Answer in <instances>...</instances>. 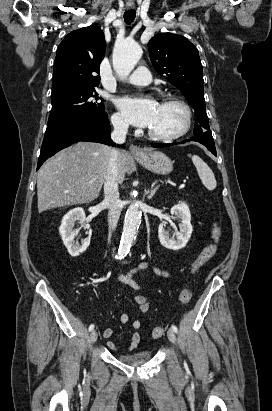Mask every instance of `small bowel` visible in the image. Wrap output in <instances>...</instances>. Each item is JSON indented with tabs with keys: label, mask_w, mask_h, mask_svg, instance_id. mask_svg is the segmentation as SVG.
<instances>
[{
	"label": "small bowel",
	"mask_w": 272,
	"mask_h": 411,
	"mask_svg": "<svg viewBox=\"0 0 272 411\" xmlns=\"http://www.w3.org/2000/svg\"><path fill=\"white\" fill-rule=\"evenodd\" d=\"M148 268H151L158 275H161V276H164V277H166L168 275L166 273V271H164L160 267L152 265L151 263H149L147 261H143V262H140L139 264H137L135 267H133L127 274L118 277V281L120 283L125 284L126 286L131 288L133 291L139 292L140 291V286L134 280V275L137 272L148 269ZM133 299H134L135 303L137 304L138 309L141 313H146L150 309V302H149V299L146 296H144L142 294H136L133 297ZM119 321L122 324L127 323L129 321V315L127 313H122L119 316ZM132 328H133V333L131 335L129 345L127 347V351L135 350L138 347V345L141 341V336H140V333H139V329L141 328V321L138 320V319L134 320L132 322ZM102 336L106 339H110L113 336V330L110 329V328H104L102 330ZM107 346H108V348H110L112 350H117V346L113 341H108Z\"/></svg>",
	"instance_id": "1"
}]
</instances>
